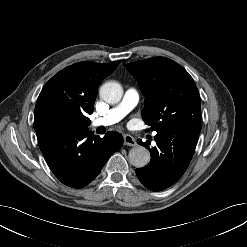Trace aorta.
Here are the masks:
<instances>
[{
    "label": "aorta",
    "instance_id": "obj_1",
    "mask_svg": "<svg viewBox=\"0 0 247 247\" xmlns=\"http://www.w3.org/2000/svg\"><path fill=\"white\" fill-rule=\"evenodd\" d=\"M123 96V89L117 82H106L100 88V97L109 104L118 103ZM129 162L137 167L142 168L150 161V153L148 149L143 146L133 147L128 154Z\"/></svg>",
    "mask_w": 247,
    "mask_h": 247
}]
</instances>
